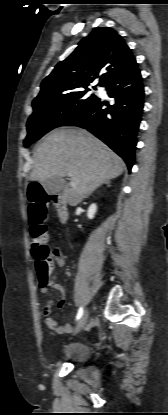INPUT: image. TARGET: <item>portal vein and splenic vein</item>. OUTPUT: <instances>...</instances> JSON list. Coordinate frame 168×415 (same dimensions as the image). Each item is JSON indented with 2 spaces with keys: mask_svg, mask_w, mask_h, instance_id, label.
Instances as JSON below:
<instances>
[{
  "mask_svg": "<svg viewBox=\"0 0 168 415\" xmlns=\"http://www.w3.org/2000/svg\"><path fill=\"white\" fill-rule=\"evenodd\" d=\"M68 176H69V177H71V174H68ZM70 185H71V186H74V184H73V183H71Z\"/></svg>",
  "mask_w": 168,
  "mask_h": 415,
  "instance_id": "18ae733b",
  "label": "portal vein and splenic vein"
}]
</instances>
